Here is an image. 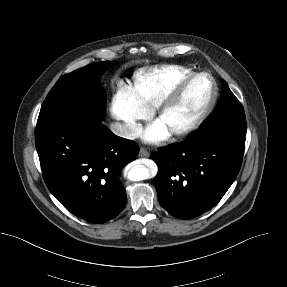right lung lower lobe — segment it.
Segmentation results:
<instances>
[{
    "instance_id": "98d812e1",
    "label": "right lung lower lobe",
    "mask_w": 287,
    "mask_h": 287,
    "mask_svg": "<svg viewBox=\"0 0 287 287\" xmlns=\"http://www.w3.org/2000/svg\"><path fill=\"white\" fill-rule=\"evenodd\" d=\"M101 120L72 113L35 130L48 189L72 214L95 224L124 209L127 197L119 175L139 152L135 142L116 136Z\"/></svg>"
}]
</instances>
